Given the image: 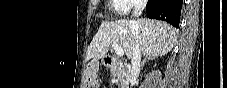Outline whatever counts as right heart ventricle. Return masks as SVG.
<instances>
[{
	"label": "right heart ventricle",
	"mask_w": 227,
	"mask_h": 88,
	"mask_svg": "<svg viewBox=\"0 0 227 88\" xmlns=\"http://www.w3.org/2000/svg\"><path fill=\"white\" fill-rule=\"evenodd\" d=\"M110 3L113 11L119 14L124 13V4L121 0H111Z\"/></svg>",
	"instance_id": "1"
}]
</instances>
